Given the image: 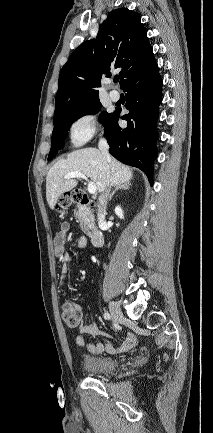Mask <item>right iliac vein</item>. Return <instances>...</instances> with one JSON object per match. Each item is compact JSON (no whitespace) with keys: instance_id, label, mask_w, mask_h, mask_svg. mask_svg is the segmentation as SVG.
<instances>
[{"instance_id":"obj_1","label":"right iliac vein","mask_w":213,"mask_h":433,"mask_svg":"<svg viewBox=\"0 0 213 433\" xmlns=\"http://www.w3.org/2000/svg\"><path fill=\"white\" fill-rule=\"evenodd\" d=\"M109 309L115 322L119 323L123 319V313L119 305L112 301L109 303Z\"/></svg>"}]
</instances>
